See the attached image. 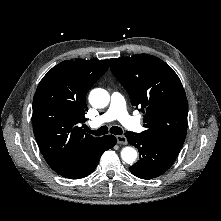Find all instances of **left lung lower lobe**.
Wrapping results in <instances>:
<instances>
[{
	"instance_id": "1",
	"label": "left lung lower lobe",
	"mask_w": 221,
	"mask_h": 221,
	"mask_svg": "<svg viewBox=\"0 0 221 221\" xmlns=\"http://www.w3.org/2000/svg\"><path fill=\"white\" fill-rule=\"evenodd\" d=\"M125 135L140 154V159L129 170L133 175L146 180L165 173L175 162L181 148L142 137L134 132H127Z\"/></svg>"
}]
</instances>
